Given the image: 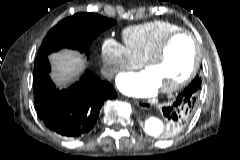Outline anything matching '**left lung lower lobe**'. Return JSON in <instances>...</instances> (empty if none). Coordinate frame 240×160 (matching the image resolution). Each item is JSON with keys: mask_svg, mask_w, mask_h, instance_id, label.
<instances>
[{"mask_svg": "<svg viewBox=\"0 0 240 160\" xmlns=\"http://www.w3.org/2000/svg\"><path fill=\"white\" fill-rule=\"evenodd\" d=\"M198 99V91L196 84H190L182 91L172 104L163 107V114L173 126H179L183 123H188L187 120L192 117ZM184 114H187L185 116ZM170 130L168 129V133ZM177 133V132H174Z\"/></svg>", "mask_w": 240, "mask_h": 160, "instance_id": "0a47b994", "label": "left lung lower lobe"}]
</instances>
